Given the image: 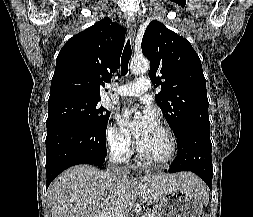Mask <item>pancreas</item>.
<instances>
[{
	"instance_id": "pancreas-1",
	"label": "pancreas",
	"mask_w": 253,
	"mask_h": 217,
	"mask_svg": "<svg viewBox=\"0 0 253 217\" xmlns=\"http://www.w3.org/2000/svg\"><path fill=\"white\" fill-rule=\"evenodd\" d=\"M149 215H150V217H160L159 214L154 210H150Z\"/></svg>"
}]
</instances>
